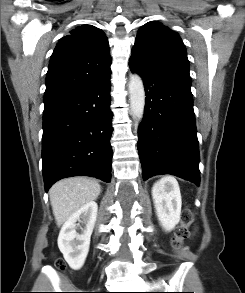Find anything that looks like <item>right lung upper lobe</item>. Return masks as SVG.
Returning <instances> with one entry per match:
<instances>
[{
    "label": "right lung upper lobe",
    "instance_id": "1",
    "mask_svg": "<svg viewBox=\"0 0 245 293\" xmlns=\"http://www.w3.org/2000/svg\"><path fill=\"white\" fill-rule=\"evenodd\" d=\"M105 33L82 25L61 38L49 63L44 104L61 100L111 74Z\"/></svg>",
    "mask_w": 245,
    "mask_h": 293
}]
</instances>
